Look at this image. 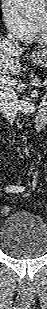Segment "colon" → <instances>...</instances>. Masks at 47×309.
Here are the masks:
<instances>
[{"label": "colon", "instance_id": "1", "mask_svg": "<svg viewBox=\"0 0 47 309\" xmlns=\"http://www.w3.org/2000/svg\"><path fill=\"white\" fill-rule=\"evenodd\" d=\"M1 213L3 215H9L10 214V208L9 207H3L2 210H1Z\"/></svg>", "mask_w": 47, "mask_h": 309}]
</instances>
